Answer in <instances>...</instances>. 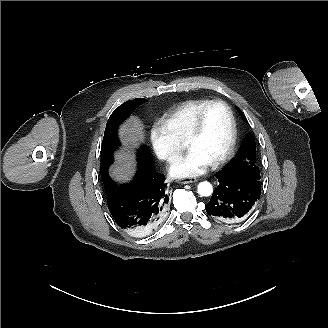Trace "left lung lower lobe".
<instances>
[{
    "instance_id": "0a47b994",
    "label": "left lung lower lobe",
    "mask_w": 328,
    "mask_h": 328,
    "mask_svg": "<svg viewBox=\"0 0 328 328\" xmlns=\"http://www.w3.org/2000/svg\"><path fill=\"white\" fill-rule=\"evenodd\" d=\"M216 177L219 185L205 204L206 212L223 222L245 218L260 197V179L249 173L223 170Z\"/></svg>"
}]
</instances>
